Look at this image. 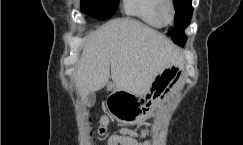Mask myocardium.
<instances>
[{"label":"myocardium","mask_w":243,"mask_h":145,"mask_svg":"<svg viewBox=\"0 0 243 145\" xmlns=\"http://www.w3.org/2000/svg\"><path fill=\"white\" fill-rule=\"evenodd\" d=\"M158 16L164 24H172L175 20V7L173 0H160Z\"/></svg>","instance_id":"obj_1"}]
</instances>
